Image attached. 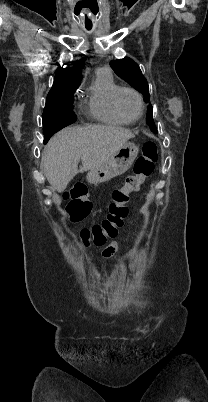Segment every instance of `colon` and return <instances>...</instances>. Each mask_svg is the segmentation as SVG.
I'll use <instances>...</instances> for the list:
<instances>
[{"label": "colon", "instance_id": "colon-1", "mask_svg": "<svg viewBox=\"0 0 208 402\" xmlns=\"http://www.w3.org/2000/svg\"><path fill=\"white\" fill-rule=\"evenodd\" d=\"M156 159L155 142H145L141 155L134 163V172L125 178L122 186L112 190L108 216L79 232L80 243L83 247H88L90 244L104 245L108 238L117 235L119 228L123 226L124 220L128 216L127 204L130 195L135 193L140 184L153 173ZM69 195L71 198L87 196L86 185L84 183L75 184ZM91 212V205H75L73 208L72 204H68L66 208L67 218L73 222H82L83 214H91Z\"/></svg>", "mask_w": 208, "mask_h": 402}]
</instances>
